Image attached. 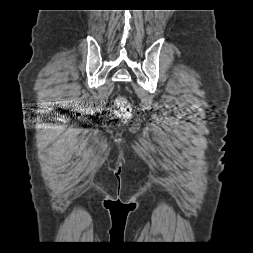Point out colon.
Listing matches in <instances>:
<instances>
[{
    "label": "colon",
    "instance_id": "1",
    "mask_svg": "<svg viewBox=\"0 0 253 253\" xmlns=\"http://www.w3.org/2000/svg\"><path fill=\"white\" fill-rule=\"evenodd\" d=\"M114 107L116 115L123 121H127L132 116V108L127 99L119 95L114 100Z\"/></svg>",
    "mask_w": 253,
    "mask_h": 253
}]
</instances>
